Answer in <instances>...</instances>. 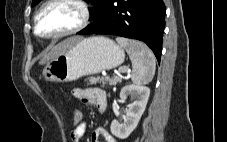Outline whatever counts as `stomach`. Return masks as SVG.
I'll use <instances>...</instances> for the list:
<instances>
[{
	"label": "stomach",
	"mask_w": 227,
	"mask_h": 142,
	"mask_svg": "<svg viewBox=\"0 0 227 142\" xmlns=\"http://www.w3.org/2000/svg\"><path fill=\"white\" fill-rule=\"evenodd\" d=\"M125 58L121 46L104 36H93L74 43L43 69L46 81L72 82L120 66Z\"/></svg>",
	"instance_id": "stomach-1"
}]
</instances>
